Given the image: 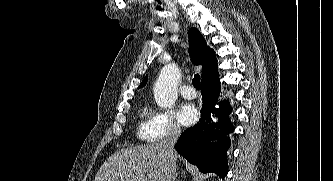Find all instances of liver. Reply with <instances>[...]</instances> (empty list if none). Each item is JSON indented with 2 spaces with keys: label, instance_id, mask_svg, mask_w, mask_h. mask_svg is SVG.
I'll list each match as a JSON object with an SVG mask.
<instances>
[{
  "label": "liver",
  "instance_id": "1",
  "mask_svg": "<svg viewBox=\"0 0 333 181\" xmlns=\"http://www.w3.org/2000/svg\"><path fill=\"white\" fill-rule=\"evenodd\" d=\"M167 170L168 158L161 143L141 145L111 155L94 181H166Z\"/></svg>",
  "mask_w": 333,
  "mask_h": 181
}]
</instances>
